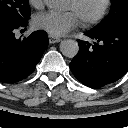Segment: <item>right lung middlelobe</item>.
Returning a JSON list of instances; mask_svg holds the SVG:
<instances>
[{"mask_svg": "<svg viewBox=\"0 0 128 128\" xmlns=\"http://www.w3.org/2000/svg\"><path fill=\"white\" fill-rule=\"evenodd\" d=\"M29 18L28 0H0V25L19 26Z\"/></svg>", "mask_w": 128, "mask_h": 128, "instance_id": "right-lung-middle-lobe-1", "label": "right lung middle lobe"}]
</instances>
